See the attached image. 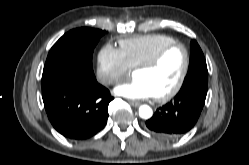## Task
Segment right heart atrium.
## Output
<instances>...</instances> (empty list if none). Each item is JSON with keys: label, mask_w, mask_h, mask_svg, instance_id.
Returning a JSON list of instances; mask_svg holds the SVG:
<instances>
[{"label": "right heart atrium", "mask_w": 249, "mask_h": 165, "mask_svg": "<svg viewBox=\"0 0 249 165\" xmlns=\"http://www.w3.org/2000/svg\"><path fill=\"white\" fill-rule=\"evenodd\" d=\"M130 68L120 49L104 45L97 56V77L105 85H114L124 78Z\"/></svg>", "instance_id": "d8ad5b80"}]
</instances>
